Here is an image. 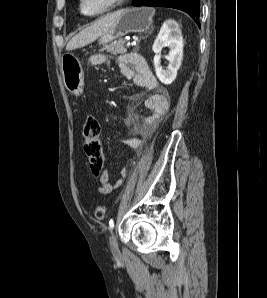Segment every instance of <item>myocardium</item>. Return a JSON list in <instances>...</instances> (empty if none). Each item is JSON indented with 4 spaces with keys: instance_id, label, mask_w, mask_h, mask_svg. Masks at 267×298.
<instances>
[{
    "instance_id": "f54148a6",
    "label": "myocardium",
    "mask_w": 267,
    "mask_h": 298,
    "mask_svg": "<svg viewBox=\"0 0 267 298\" xmlns=\"http://www.w3.org/2000/svg\"><path fill=\"white\" fill-rule=\"evenodd\" d=\"M84 1L85 0H80L79 1V9L80 12L87 17H98V16H102L108 12H110L111 10L115 9L116 7H118L119 5H121L122 3H124L127 0H110L109 3L107 4V6L102 9L101 11L97 12V13H93V14H89L86 13L84 11L83 5H84Z\"/></svg>"
}]
</instances>
